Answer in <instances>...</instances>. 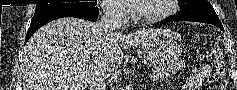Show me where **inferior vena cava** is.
<instances>
[{
	"label": "inferior vena cava",
	"mask_w": 237,
	"mask_h": 90,
	"mask_svg": "<svg viewBox=\"0 0 237 90\" xmlns=\"http://www.w3.org/2000/svg\"><path fill=\"white\" fill-rule=\"evenodd\" d=\"M103 10V16H101L98 24L101 30V36H114L117 34V30H120L124 18V6L123 4H105L101 6ZM107 62H100L96 68L91 72L92 82L89 90H106L107 78H109L111 72L106 66Z\"/></svg>",
	"instance_id": "602c4592"
}]
</instances>
